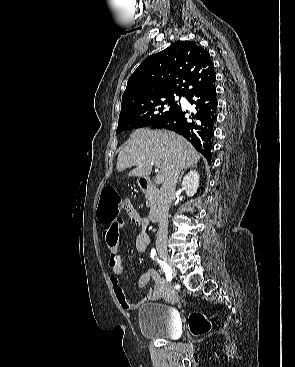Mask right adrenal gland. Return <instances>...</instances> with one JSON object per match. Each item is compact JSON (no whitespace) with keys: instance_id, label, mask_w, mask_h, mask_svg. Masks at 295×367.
<instances>
[{"instance_id":"right-adrenal-gland-1","label":"right adrenal gland","mask_w":295,"mask_h":367,"mask_svg":"<svg viewBox=\"0 0 295 367\" xmlns=\"http://www.w3.org/2000/svg\"><path fill=\"white\" fill-rule=\"evenodd\" d=\"M194 168H196V165H191V166H188V167L184 168V169L182 170V172H181L180 176H179L178 183H180V182H181V179H182V177H183V174L185 173V171H186V170H188V169H194Z\"/></svg>"}]
</instances>
